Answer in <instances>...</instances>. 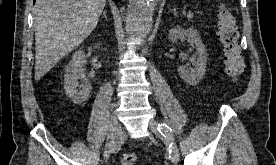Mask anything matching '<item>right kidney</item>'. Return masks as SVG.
<instances>
[{"instance_id": "right-kidney-1", "label": "right kidney", "mask_w": 276, "mask_h": 165, "mask_svg": "<svg viewBox=\"0 0 276 165\" xmlns=\"http://www.w3.org/2000/svg\"><path fill=\"white\" fill-rule=\"evenodd\" d=\"M85 64L86 56L84 51L80 49L72 55L71 61L66 67L64 75L65 94L74 104H81L87 100L92 89L89 79L85 76ZM79 80L83 82L80 84Z\"/></svg>"}]
</instances>
